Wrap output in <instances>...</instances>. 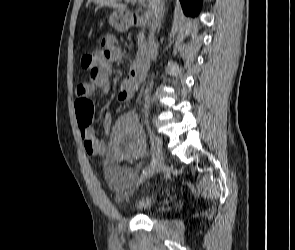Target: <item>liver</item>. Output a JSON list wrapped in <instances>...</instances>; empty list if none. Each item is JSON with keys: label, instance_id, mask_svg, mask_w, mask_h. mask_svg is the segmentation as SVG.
Returning <instances> with one entry per match:
<instances>
[{"label": "liver", "instance_id": "liver-1", "mask_svg": "<svg viewBox=\"0 0 295 250\" xmlns=\"http://www.w3.org/2000/svg\"><path fill=\"white\" fill-rule=\"evenodd\" d=\"M147 1L149 3V7H151L152 12H153L155 0H147ZM93 2L95 4H99V5L113 7L119 11H125L127 8L126 5L121 3V0H93Z\"/></svg>", "mask_w": 295, "mask_h": 250}]
</instances>
